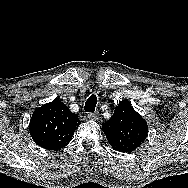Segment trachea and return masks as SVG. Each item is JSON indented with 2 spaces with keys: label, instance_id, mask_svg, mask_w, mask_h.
I'll return each mask as SVG.
<instances>
[{
  "label": "trachea",
  "instance_id": "1",
  "mask_svg": "<svg viewBox=\"0 0 188 188\" xmlns=\"http://www.w3.org/2000/svg\"><path fill=\"white\" fill-rule=\"evenodd\" d=\"M96 104H97V97L96 95L93 94L87 99L85 103L84 106L85 111L93 113L95 111Z\"/></svg>",
  "mask_w": 188,
  "mask_h": 188
}]
</instances>
